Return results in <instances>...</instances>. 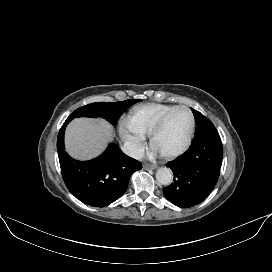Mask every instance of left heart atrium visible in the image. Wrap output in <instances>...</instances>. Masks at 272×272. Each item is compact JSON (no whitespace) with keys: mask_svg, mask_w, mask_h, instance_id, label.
Masks as SVG:
<instances>
[{"mask_svg":"<svg viewBox=\"0 0 272 272\" xmlns=\"http://www.w3.org/2000/svg\"><path fill=\"white\" fill-rule=\"evenodd\" d=\"M153 152H154V153H157V151H156L154 148H153Z\"/></svg>","mask_w":272,"mask_h":272,"instance_id":"obj_1","label":"left heart atrium"}]
</instances>
